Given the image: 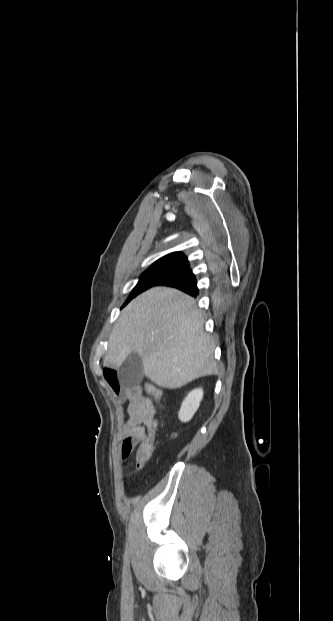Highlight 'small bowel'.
<instances>
[{"label":"small bowel","instance_id":"obj_1","mask_svg":"<svg viewBox=\"0 0 333 621\" xmlns=\"http://www.w3.org/2000/svg\"><path fill=\"white\" fill-rule=\"evenodd\" d=\"M103 375L115 397L121 403L128 402V417L123 426L121 444V457L126 459L156 420V403L150 394L149 385L145 389L139 385L124 386L113 367H105Z\"/></svg>","mask_w":333,"mask_h":621}]
</instances>
